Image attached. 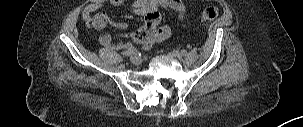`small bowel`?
I'll return each mask as SVG.
<instances>
[{
  "instance_id": "c3829d8e",
  "label": "small bowel",
  "mask_w": 303,
  "mask_h": 127,
  "mask_svg": "<svg viewBox=\"0 0 303 127\" xmlns=\"http://www.w3.org/2000/svg\"><path fill=\"white\" fill-rule=\"evenodd\" d=\"M129 0H95L90 3L83 12L85 19L92 18L97 29L104 28L110 19L106 13L97 12L107 3L117 6ZM171 10L181 19L187 12V8L181 0H134L132 10L135 14L145 17L144 25L132 35V42L123 43L114 41L110 34L104 33L99 41L104 47L114 50L128 51L133 44L139 45L143 50L150 49L154 44L166 40L170 35V29L166 26L160 27L161 11ZM114 27L124 30L127 28L125 22H113Z\"/></svg>"
}]
</instances>
